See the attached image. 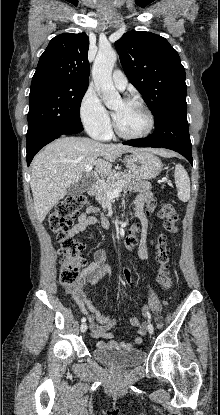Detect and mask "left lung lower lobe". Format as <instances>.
Masks as SVG:
<instances>
[{
  "label": "left lung lower lobe",
  "instance_id": "1",
  "mask_svg": "<svg viewBox=\"0 0 220 415\" xmlns=\"http://www.w3.org/2000/svg\"><path fill=\"white\" fill-rule=\"evenodd\" d=\"M152 135L124 142L134 147H162L183 155L192 165L191 140L187 121V105H179L167 110L163 116L154 120Z\"/></svg>",
  "mask_w": 220,
  "mask_h": 415
}]
</instances>
